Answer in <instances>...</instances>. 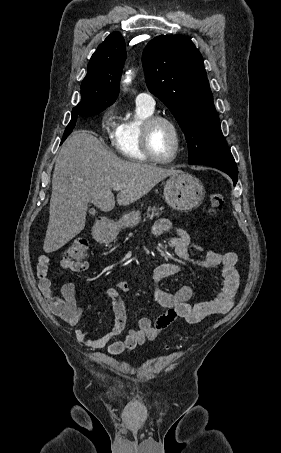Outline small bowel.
I'll list each match as a JSON object with an SVG mask.
<instances>
[{
  "mask_svg": "<svg viewBox=\"0 0 281 453\" xmlns=\"http://www.w3.org/2000/svg\"><path fill=\"white\" fill-rule=\"evenodd\" d=\"M166 232H172L175 237L170 241L172 248L181 261L163 262L154 269L153 280L155 283V299L162 305L166 312L159 316L153 323L144 318L137 325L131 326L124 339L110 343L113 337L124 331L127 320L121 293L130 290L127 282H119L106 290V297L110 301L113 322L109 333L92 337L89 332L76 329V338L91 349L107 347L112 356H120L134 350L146 339H157L177 319H184L188 324H197L210 314H227L233 307L239 288V276L236 268L237 256L234 253H219L207 251L203 256L195 258L190 256L193 240L186 230L173 225L167 219L158 220L152 231L153 238H158ZM51 259L47 255L39 257L37 276L40 290L47 300L50 311L68 325L76 327L81 323L82 308L76 299V285L72 282L62 286L63 298H58L52 288L49 278ZM219 266L221 269L220 294L217 299L207 302L190 303L192 295L190 286H182L174 294L167 293L159 287V283L169 276L184 274L201 275L204 271ZM61 270L84 272L90 268L87 262L75 263L64 258L59 262Z\"/></svg>",
  "mask_w": 281,
  "mask_h": 453,
  "instance_id": "1",
  "label": "small bowel"
}]
</instances>
